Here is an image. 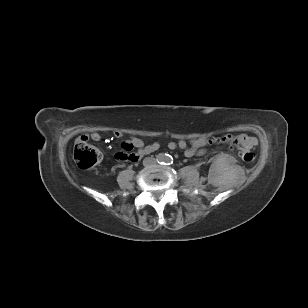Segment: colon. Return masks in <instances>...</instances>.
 <instances>
[{
	"label": "colon",
	"instance_id": "5ec220e1",
	"mask_svg": "<svg viewBox=\"0 0 308 308\" xmlns=\"http://www.w3.org/2000/svg\"><path fill=\"white\" fill-rule=\"evenodd\" d=\"M207 144L223 143L231 148L239 150L241 158L245 162H251L255 159L252 149L257 145V140L246 135H226L223 137L211 138L206 141ZM132 147L122 144V149L116 153L115 157L119 161H134V154L131 153ZM102 152L89 143L86 136H81L76 140L74 148V160L79 168L90 169L98 165L102 160Z\"/></svg>",
	"mask_w": 308,
	"mask_h": 308
}]
</instances>
